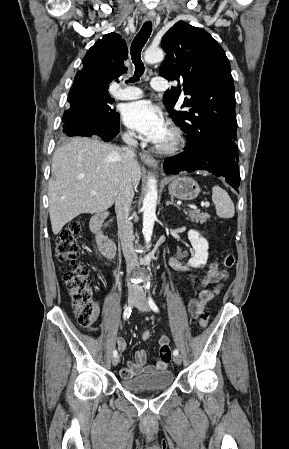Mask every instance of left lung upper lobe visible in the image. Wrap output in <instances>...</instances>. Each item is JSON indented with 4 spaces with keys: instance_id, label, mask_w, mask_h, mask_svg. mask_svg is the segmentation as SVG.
I'll list each match as a JSON object with an SVG mask.
<instances>
[{
    "instance_id": "1",
    "label": "left lung upper lobe",
    "mask_w": 289,
    "mask_h": 449,
    "mask_svg": "<svg viewBox=\"0 0 289 449\" xmlns=\"http://www.w3.org/2000/svg\"><path fill=\"white\" fill-rule=\"evenodd\" d=\"M161 45L166 59L159 73L178 82L164 93L173 121L191 138L218 130L236 139L234 82L222 47L203 29L182 21L167 31ZM182 91L187 97L181 107L189 111L172 109Z\"/></svg>"
}]
</instances>
